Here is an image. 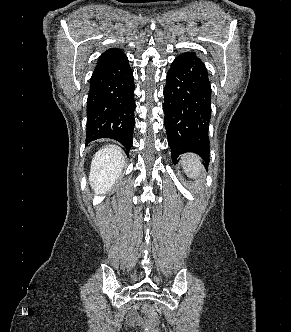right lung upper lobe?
Instances as JSON below:
<instances>
[{
  "label": "right lung upper lobe",
  "instance_id": "right-lung-upper-lobe-1",
  "mask_svg": "<svg viewBox=\"0 0 291 332\" xmlns=\"http://www.w3.org/2000/svg\"><path fill=\"white\" fill-rule=\"evenodd\" d=\"M124 57L125 55L120 49L111 48L99 57L98 63L118 60Z\"/></svg>",
  "mask_w": 291,
  "mask_h": 332
}]
</instances>
